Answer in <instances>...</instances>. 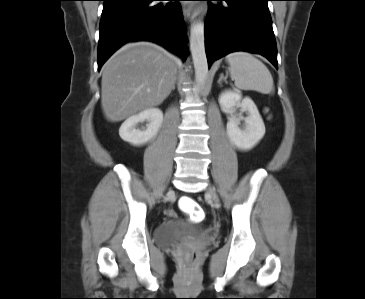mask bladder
<instances>
[{"instance_id": "31cf9c89", "label": "bladder", "mask_w": 365, "mask_h": 299, "mask_svg": "<svg viewBox=\"0 0 365 299\" xmlns=\"http://www.w3.org/2000/svg\"><path fill=\"white\" fill-rule=\"evenodd\" d=\"M206 231L202 227H193L180 218H172L157 226L155 239L158 246L173 248L184 241L208 242L204 238Z\"/></svg>"}]
</instances>
